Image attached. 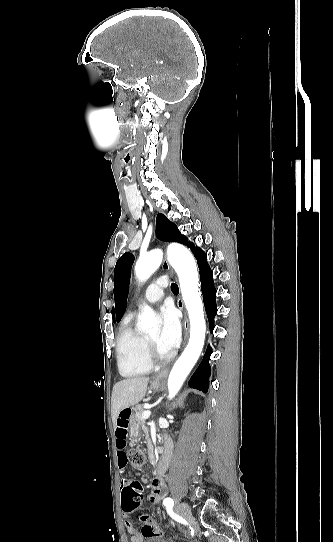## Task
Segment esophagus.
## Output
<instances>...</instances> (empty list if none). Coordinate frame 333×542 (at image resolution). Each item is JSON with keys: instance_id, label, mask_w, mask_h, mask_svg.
<instances>
[{"instance_id": "obj_1", "label": "esophagus", "mask_w": 333, "mask_h": 542, "mask_svg": "<svg viewBox=\"0 0 333 542\" xmlns=\"http://www.w3.org/2000/svg\"><path fill=\"white\" fill-rule=\"evenodd\" d=\"M162 267H163L164 270H170V266L168 264L166 256L164 257ZM177 306H178V308L180 310L183 311V314H184V320H183V325H184V343H183V346H184L186 344V342H187V339H188L189 321H188L187 313H186V311L184 309V304H183V301H182L181 297H178V299H177ZM168 372H169L168 368L161 369L160 372L156 375V377H154V379L152 380V383L160 382V380H162L163 378H165L168 375Z\"/></svg>"}]
</instances>
